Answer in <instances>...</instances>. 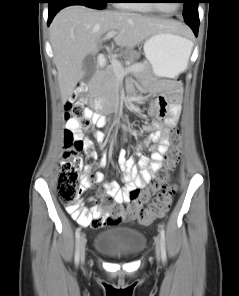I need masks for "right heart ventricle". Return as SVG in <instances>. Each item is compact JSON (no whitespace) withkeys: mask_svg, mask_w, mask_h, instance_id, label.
I'll return each instance as SVG.
<instances>
[{"mask_svg":"<svg viewBox=\"0 0 239 296\" xmlns=\"http://www.w3.org/2000/svg\"><path fill=\"white\" fill-rule=\"evenodd\" d=\"M141 2V3H140ZM145 0H121L117 7L125 9H133L143 12H153V9L149 6L148 3H142Z\"/></svg>","mask_w":239,"mask_h":296,"instance_id":"1","label":"right heart ventricle"}]
</instances>
